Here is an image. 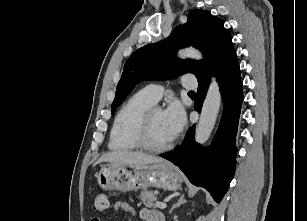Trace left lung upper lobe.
<instances>
[{
  "instance_id": "obj_1",
  "label": "left lung upper lobe",
  "mask_w": 307,
  "mask_h": 221,
  "mask_svg": "<svg viewBox=\"0 0 307 221\" xmlns=\"http://www.w3.org/2000/svg\"><path fill=\"white\" fill-rule=\"evenodd\" d=\"M224 21L213 17L210 11L194 10L184 25L176 27L168 38L136 50L126 61L117 85L112 114L143 80H165L181 74L192 73L198 81L215 74L218 68L235 51L232 37L224 28ZM193 45L205 56L202 61L180 60L178 49Z\"/></svg>"
}]
</instances>
